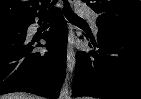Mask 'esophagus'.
<instances>
[{"mask_svg": "<svg viewBox=\"0 0 141 99\" xmlns=\"http://www.w3.org/2000/svg\"><path fill=\"white\" fill-rule=\"evenodd\" d=\"M69 2L74 5L75 0H69ZM74 39V30L72 27L69 28V45L67 48V70L68 72H72L75 66V51L72 46V42Z\"/></svg>", "mask_w": 141, "mask_h": 99, "instance_id": "obj_1", "label": "esophagus"}]
</instances>
